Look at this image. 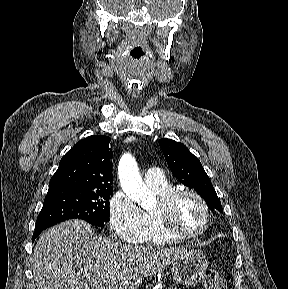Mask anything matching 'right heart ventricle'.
Returning <instances> with one entry per match:
<instances>
[{"label":"right heart ventricle","instance_id":"1","mask_svg":"<svg viewBox=\"0 0 288 289\" xmlns=\"http://www.w3.org/2000/svg\"><path fill=\"white\" fill-rule=\"evenodd\" d=\"M150 188L159 196V198L174 190L168 183L164 186ZM144 216L146 220V232L142 240L143 243L168 245L178 241V239L171 237L161 229L156 217L155 209L145 211Z\"/></svg>","mask_w":288,"mask_h":289}]
</instances>
